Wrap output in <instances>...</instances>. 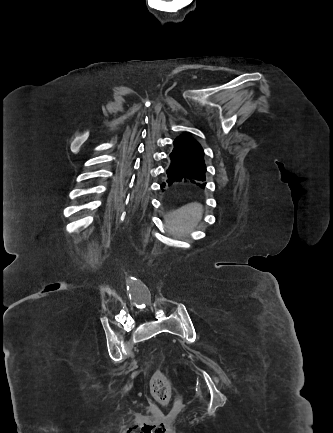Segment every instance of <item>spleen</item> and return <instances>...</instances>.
Segmentation results:
<instances>
[{
    "label": "spleen",
    "instance_id": "1",
    "mask_svg": "<svg viewBox=\"0 0 333 433\" xmlns=\"http://www.w3.org/2000/svg\"><path fill=\"white\" fill-rule=\"evenodd\" d=\"M202 215L203 208L200 204L169 209L165 214L168 219L166 223L169 227V233L178 238L184 236L188 231L196 228Z\"/></svg>",
    "mask_w": 333,
    "mask_h": 433
}]
</instances>
